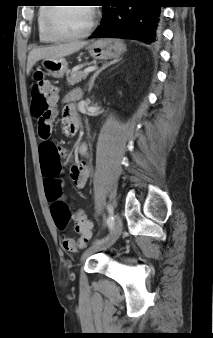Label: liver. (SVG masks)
<instances>
[{"label":"liver","instance_id":"liver-1","mask_svg":"<svg viewBox=\"0 0 213 338\" xmlns=\"http://www.w3.org/2000/svg\"><path fill=\"white\" fill-rule=\"evenodd\" d=\"M87 42L74 41L66 44H59L47 47L35 48L30 51L27 60V75L30 74L34 64L43 59H59L69 56L82 49Z\"/></svg>","mask_w":213,"mask_h":338}]
</instances>
